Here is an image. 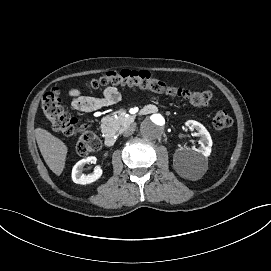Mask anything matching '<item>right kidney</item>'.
I'll return each instance as SVG.
<instances>
[{
    "mask_svg": "<svg viewBox=\"0 0 271 271\" xmlns=\"http://www.w3.org/2000/svg\"><path fill=\"white\" fill-rule=\"evenodd\" d=\"M97 161L96 157L94 156H90L87 157L85 159H82L80 161H78L73 169H72V180L74 183L77 184H90L94 181H96L97 179H99L102 175V169L100 166H95L93 173L90 174H83V167L86 163H93L95 164Z\"/></svg>",
    "mask_w": 271,
    "mask_h": 271,
    "instance_id": "1",
    "label": "right kidney"
}]
</instances>
